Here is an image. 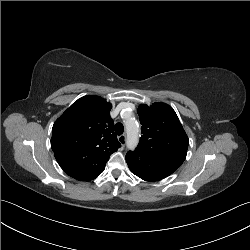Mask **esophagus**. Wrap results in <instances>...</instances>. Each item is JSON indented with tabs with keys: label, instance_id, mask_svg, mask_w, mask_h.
Here are the masks:
<instances>
[{
	"label": "esophagus",
	"instance_id": "obj_1",
	"mask_svg": "<svg viewBox=\"0 0 250 250\" xmlns=\"http://www.w3.org/2000/svg\"><path fill=\"white\" fill-rule=\"evenodd\" d=\"M118 141L120 142V144L122 146H125V143H126V135L125 134H122L120 136H118Z\"/></svg>",
	"mask_w": 250,
	"mask_h": 250
}]
</instances>
